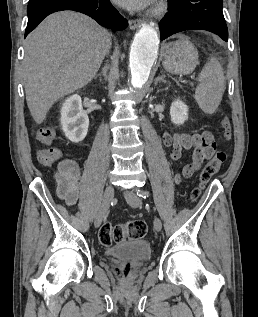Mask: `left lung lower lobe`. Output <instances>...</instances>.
<instances>
[{
    "label": "left lung lower lobe",
    "mask_w": 258,
    "mask_h": 317,
    "mask_svg": "<svg viewBox=\"0 0 258 317\" xmlns=\"http://www.w3.org/2000/svg\"><path fill=\"white\" fill-rule=\"evenodd\" d=\"M223 0H169V12L160 21L161 40L185 30H206L228 41Z\"/></svg>",
    "instance_id": "obj_1"
}]
</instances>
